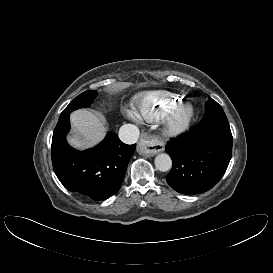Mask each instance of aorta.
<instances>
[{"label":"aorta","instance_id":"1","mask_svg":"<svg viewBox=\"0 0 273 273\" xmlns=\"http://www.w3.org/2000/svg\"><path fill=\"white\" fill-rule=\"evenodd\" d=\"M155 166L161 172L169 171L172 167L171 157L166 153L158 154L155 157Z\"/></svg>","mask_w":273,"mask_h":273}]
</instances>
